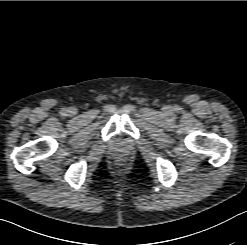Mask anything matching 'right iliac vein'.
<instances>
[{"instance_id": "right-iliac-vein-1", "label": "right iliac vein", "mask_w": 247, "mask_h": 245, "mask_svg": "<svg viewBox=\"0 0 247 245\" xmlns=\"http://www.w3.org/2000/svg\"><path fill=\"white\" fill-rule=\"evenodd\" d=\"M68 112H69L70 115H75L76 114V109L72 107V108H70L68 110Z\"/></svg>"}]
</instances>
